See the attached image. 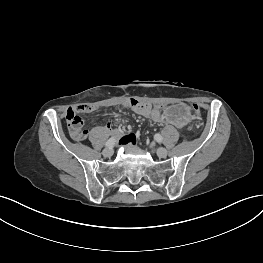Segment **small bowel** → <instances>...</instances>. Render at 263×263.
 <instances>
[{
	"instance_id": "1",
	"label": "small bowel",
	"mask_w": 263,
	"mask_h": 263,
	"mask_svg": "<svg viewBox=\"0 0 263 263\" xmlns=\"http://www.w3.org/2000/svg\"><path fill=\"white\" fill-rule=\"evenodd\" d=\"M124 107L129 108L132 110L134 113L146 117V118H151L154 121L157 122H164L168 124H172L178 128H184L187 123L188 119L185 121H178L176 119H169L165 116L164 114V109H161L160 107H155L153 108L152 106L148 104H144L142 102H139L135 99H131L127 101L124 105ZM97 107L95 105L91 104H86V105H80L75 109L76 112L82 114V113H91L95 111ZM107 128L110 129V123H107ZM115 134H118L116 131H113ZM123 142L125 143H132L135 144L137 142V137L134 134H130L126 137L122 138Z\"/></svg>"
}]
</instances>
